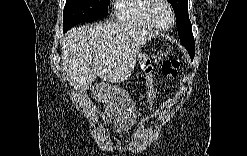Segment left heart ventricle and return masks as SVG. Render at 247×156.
<instances>
[{"label":"left heart ventricle","mask_w":247,"mask_h":156,"mask_svg":"<svg viewBox=\"0 0 247 156\" xmlns=\"http://www.w3.org/2000/svg\"><path fill=\"white\" fill-rule=\"evenodd\" d=\"M154 17H155L157 23H159L162 26H167L171 22L170 12H169L168 8L163 4L159 5L156 8V10L154 12Z\"/></svg>","instance_id":"obj_1"}]
</instances>
